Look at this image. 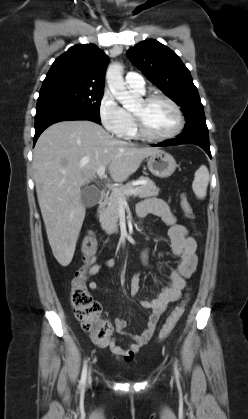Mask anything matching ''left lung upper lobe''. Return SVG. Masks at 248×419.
<instances>
[{
    "instance_id": "obj_1",
    "label": "left lung upper lobe",
    "mask_w": 248,
    "mask_h": 419,
    "mask_svg": "<svg viewBox=\"0 0 248 419\" xmlns=\"http://www.w3.org/2000/svg\"><path fill=\"white\" fill-rule=\"evenodd\" d=\"M131 62L181 108L184 130L206 124L204 107L191 74L177 54L154 39L142 41L127 51Z\"/></svg>"
}]
</instances>
